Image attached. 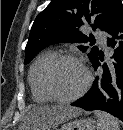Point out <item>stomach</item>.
<instances>
[{"mask_svg":"<svg viewBox=\"0 0 123 130\" xmlns=\"http://www.w3.org/2000/svg\"><path fill=\"white\" fill-rule=\"evenodd\" d=\"M95 128L96 122L92 119H76L63 123L60 128H53L52 130H95Z\"/></svg>","mask_w":123,"mask_h":130,"instance_id":"stomach-1","label":"stomach"}]
</instances>
